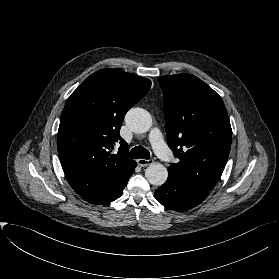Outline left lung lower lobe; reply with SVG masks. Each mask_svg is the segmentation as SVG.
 Masks as SVG:
<instances>
[{"instance_id": "1", "label": "left lung lower lobe", "mask_w": 279, "mask_h": 279, "mask_svg": "<svg viewBox=\"0 0 279 279\" xmlns=\"http://www.w3.org/2000/svg\"><path fill=\"white\" fill-rule=\"evenodd\" d=\"M208 193L209 190L183 181L174 173L168 172L167 181L155 191V197L166 208L186 211L199 205Z\"/></svg>"}]
</instances>
